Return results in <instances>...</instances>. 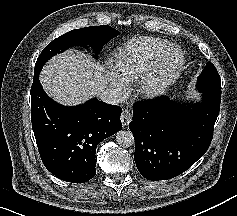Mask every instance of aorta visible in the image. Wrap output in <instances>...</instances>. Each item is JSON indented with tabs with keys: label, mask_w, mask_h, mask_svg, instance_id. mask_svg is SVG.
<instances>
[{
	"label": "aorta",
	"mask_w": 237,
	"mask_h": 216,
	"mask_svg": "<svg viewBox=\"0 0 237 216\" xmlns=\"http://www.w3.org/2000/svg\"><path fill=\"white\" fill-rule=\"evenodd\" d=\"M115 137L117 144L122 148H129L135 144L134 135L130 130H120Z\"/></svg>",
	"instance_id": "aorta-1"
}]
</instances>
